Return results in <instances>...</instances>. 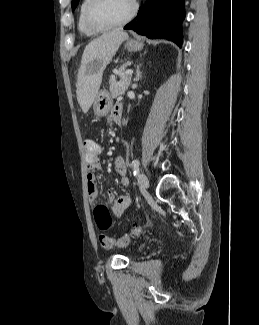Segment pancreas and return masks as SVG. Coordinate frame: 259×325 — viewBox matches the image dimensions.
Masks as SVG:
<instances>
[{"instance_id":"1","label":"pancreas","mask_w":259,"mask_h":325,"mask_svg":"<svg viewBox=\"0 0 259 325\" xmlns=\"http://www.w3.org/2000/svg\"><path fill=\"white\" fill-rule=\"evenodd\" d=\"M127 65H123L119 68L123 73L120 75V80L116 81L115 75H112L109 80L110 93L113 98L123 95L131 82V75H127L125 72Z\"/></svg>"}]
</instances>
